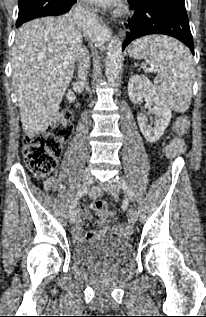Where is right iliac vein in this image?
I'll return each instance as SVG.
<instances>
[{"label": "right iliac vein", "instance_id": "obj_1", "mask_svg": "<svg viewBox=\"0 0 206 317\" xmlns=\"http://www.w3.org/2000/svg\"><path fill=\"white\" fill-rule=\"evenodd\" d=\"M94 181L93 175L86 171L83 175V186L88 187L90 186ZM79 219V211H75L73 215H71V222L72 224H75Z\"/></svg>", "mask_w": 206, "mask_h": 317}]
</instances>
